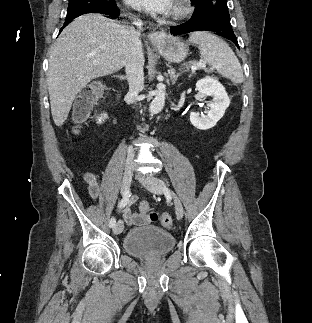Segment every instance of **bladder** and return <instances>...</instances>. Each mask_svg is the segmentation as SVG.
<instances>
[{"instance_id":"1","label":"bladder","mask_w":312,"mask_h":323,"mask_svg":"<svg viewBox=\"0 0 312 323\" xmlns=\"http://www.w3.org/2000/svg\"><path fill=\"white\" fill-rule=\"evenodd\" d=\"M175 238L159 227L146 226L130 229L124 238V251L132 257L154 258L164 256L174 246Z\"/></svg>"}]
</instances>
